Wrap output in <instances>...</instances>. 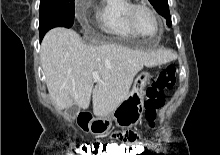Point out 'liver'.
<instances>
[{
	"label": "liver",
	"mask_w": 220,
	"mask_h": 155,
	"mask_svg": "<svg viewBox=\"0 0 220 155\" xmlns=\"http://www.w3.org/2000/svg\"><path fill=\"white\" fill-rule=\"evenodd\" d=\"M40 58L49 95L59 110H86L91 101L98 118L109 115L128 95L144 66L174 60L166 50H133L117 44L85 45L71 29L57 27L43 38ZM99 73L95 81L93 73Z\"/></svg>",
	"instance_id": "liver-1"
}]
</instances>
